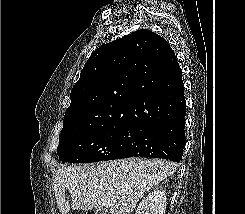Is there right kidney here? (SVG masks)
<instances>
[{"label":"right kidney","instance_id":"right-kidney-1","mask_svg":"<svg viewBox=\"0 0 245 214\" xmlns=\"http://www.w3.org/2000/svg\"><path fill=\"white\" fill-rule=\"evenodd\" d=\"M166 199L165 191L154 190L139 203L135 214H165Z\"/></svg>","mask_w":245,"mask_h":214}]
</instances>
